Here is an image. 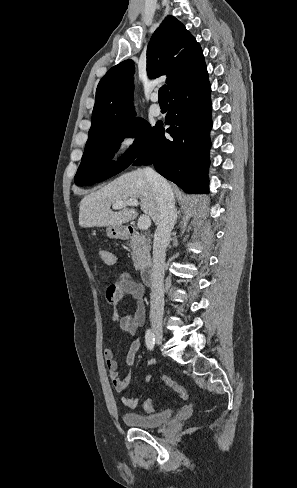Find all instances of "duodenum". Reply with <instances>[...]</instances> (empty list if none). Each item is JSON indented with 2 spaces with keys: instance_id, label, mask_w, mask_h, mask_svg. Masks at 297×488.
Returning a JSON list of instances; mask_svg holds the SVG:
<instances>
[{
  "instance_id": "410a0bca",
  "label": "duodenum",
  "mask_w": 297,
  "mask_h": 488,
  "mask_svg": "<svg viewBox=\"0 0 297 488\" xmlns=\"http://www.w3.org/2000/svg\"><path fill=\"white\" fill-rule=\"evenodd\" d=\"M132 234H133V229L128 230V235L130 236ZM156 274H157V268L154 262L151 260L145 262L140 269V276L142 278V281L146 285H151L154 283L156 279Z\"/></svg>"
}]
</instances>
